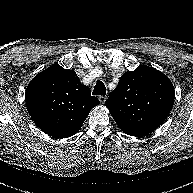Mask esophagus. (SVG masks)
<instances>
[{"label": "esophagus", "instance_id": "obj_1", "mask_svg": "<svg viewBox=\"0 0 193 193\" xmlns=\"http://www.w3.org/2000/svg\"><path fill=\"white\" fill-rule=\"evenodd\" d=\"M98 99H99L101 104H104L106 99H107V97L106 96H99Z\"/></svg>", "mask_w": 193, "mask_h": 193}]
</instances>
